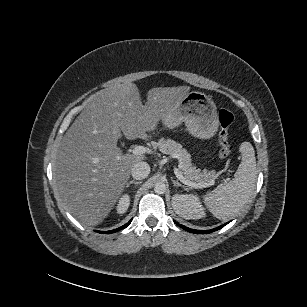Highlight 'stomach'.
Here are the masks:
<instances>
[{"label":"stomach","instance_id":"0dacf381","mask_svg":"<svg viewBox=\"0 0 307 307\" xmlns=\"http://www.w3.org/2000/svg\"><path fill=\"white\" fill-rule=\"evenodd\" d=\"M160 122L168 130L177 129L184 123L187 130L199 138H210L218 128L214 102L198 91L188 92L177 108L161 115Z\"/></svg>","mask_w":307,"mask_h":307}]
</instances>
